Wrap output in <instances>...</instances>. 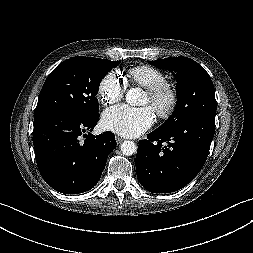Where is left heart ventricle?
<instances>
[{
	"label": "left heart ventricle",
	"mask_w": 253,
	"mask_h": 253,
	"mask_svg": "<svg viewBox=\"0 0 253 253\" xmlns=\"http://www.w3.org/2000/svg\"><path fill=\"white\" fill-rule=\"evenodd\" d=\"M145 104H150V98H149L148 94H146Z\"/></svg>",
	"instance_id": "obj_1"
}]
</instances>
